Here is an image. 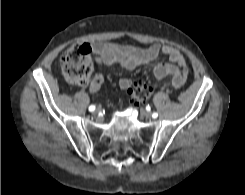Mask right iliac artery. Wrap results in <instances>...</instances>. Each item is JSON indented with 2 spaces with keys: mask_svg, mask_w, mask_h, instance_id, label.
I'll return each mask as SVG.
<instances>
[{
  "mask_svg": "<svg viewBox=\"0 0 245 195\" xmlns=\"http://www.w3.org/2000/svg\"><path fill=\"white\" fill-rule=\"evenodd\" d=\"M95 110V106L94 105H91L90 107H89V111L90 112H93Z\"/></svg>",
  "mask_w": 245,
  "mask_h": 195,
  "instance_id": "right-iliac-artery-1",
  "label": "right iliac artery"
}]
</instances>
